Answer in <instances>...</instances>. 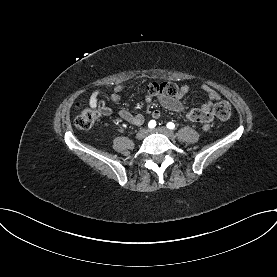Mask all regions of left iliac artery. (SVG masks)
Here are the masks:
<instances>
[{
  "mask_svg": "<svg viewBox=\"0 0 277 277\" xmlns=\"http://www.w3.org/2000/svg\"><path fill=\"white\" fill-rule=\"evenodd\" d=\"M167 128L168 129H174L175 128L174 123H172V122L167 123Z\"/></svg>",
  "mask_w": 277,
  "mask_h": 277,
  "instance_id": "obj_1",
  "label": "left iliac artery"
}]
</instances>
